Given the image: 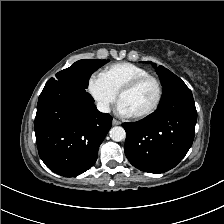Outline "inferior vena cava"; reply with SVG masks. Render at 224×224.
Masks as SVG:
<instances>
[{
    "mask_svg": "<svg viewBox=\"0 0 224 224\" xmlns=\"http://www.w3.org/2000/svg\"><path fill=\"white\" fill-rule=\"evenodd\" d=\"M97 109L100 112H103V113H109L110 112V107H109V104L107 102H98L97 103Z\"/></svg>",
    "mask_w": 224,
    "mask_h": 224,
    "instance_id": "1",
    "label": "inferior vena cava"
}]
</instances>
